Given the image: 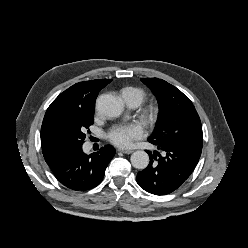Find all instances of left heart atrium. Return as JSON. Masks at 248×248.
Listing matches in <instances>:
<instances>
[{"mask_svg": "<svg viewBox=\"0 0 248 248\" xmlns=\"http://www.w3.org/2000/svg\"><path fill=\"white\" fill-rule=\"evenodd\" d=\"M143 135L144 128L138 123H133L113 128L109 133V139L118 147L128 148L135 140L142 138Z\"/></svg>", "mask_w": 248, "mask_h": 248, "instance_id": "left-heart-atrium-1", "label": "left heart atrium"}]
</instances>
